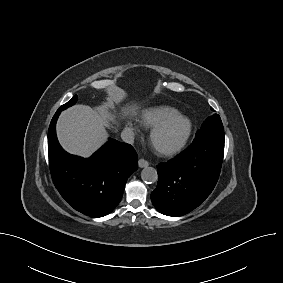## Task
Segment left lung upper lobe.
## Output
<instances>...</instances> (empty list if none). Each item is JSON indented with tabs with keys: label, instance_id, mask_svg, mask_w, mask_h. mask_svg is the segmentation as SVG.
I'll return each mask as SVG.
<instances>
[{
	"label": "left lung upper lobe",
	"instance_id": "obj_1",
	"mask_svg": "<svg viewBox=\"0 0 283 283\" xmlns=\"http://www.w3.org/2000/svg\"><path fill=\"white\" fill-rule=\"evenodd\" d=\"M213 110V108H211ZM198 136H212L219 139H224V128L220 116L214 114L208 117L202 124L200 130L197 131Z\"/></svg>",
	"mask_w": 283,
	"mask_h": 283
}]
</instances>
